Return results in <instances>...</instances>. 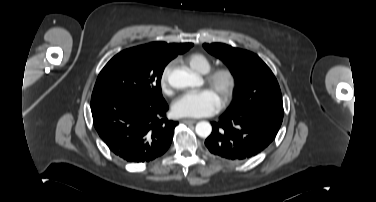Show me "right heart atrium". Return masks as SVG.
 <instances>
[{
	"label": "right heart atrium",
	"instance_id": "right-heart-atrium-1",
	"mask_svg": "<svg viewBox=\"0 0 376 202\" xmlns=\"http://www.w3.org/2000/svg\"><path fill=\"white\" fill-rule=\"evenodd\" d=\"M172 68H173V64L169 63L168 65H166L164 67V69L162 70V73L160 75L161 90L164 93H167V94L170 93V91H171V87H170V83H169V77H170V73H171Z\"/></svg>",
	"mask_w": 376,
	"mask_h": 202
}]
</instances>
